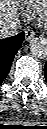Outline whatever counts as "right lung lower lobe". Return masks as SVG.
Wrapping results in <instances>:
<instances>
[{"label":"right lung lower lobe","mask_w":47,"mask_h":129,"mask_svg":"<svg viewBox=\"0 0 47 129\" xmlns=\"http://www.w3.org/2000/svg\"><path fill=\"white\" fill-rule=\"evenodd\" d=\"M24 33L0 40V84L9 73L13 58L20 49Z\"/></svg>","instance_id":"1"}]
</instances>
